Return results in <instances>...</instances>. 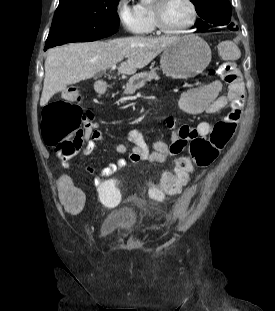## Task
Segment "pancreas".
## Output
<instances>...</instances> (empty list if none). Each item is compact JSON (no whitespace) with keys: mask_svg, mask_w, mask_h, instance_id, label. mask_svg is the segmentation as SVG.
<instances>
[{"mask_svg":"<svg viewBox=\"0 0 275 311\" xmlns=\"http://www.w3.org/2000/svg\"><path fill=\"white\" fill-rule=\"evenodd\" d=\"M153 79L155 80L160 79L155 70L138 73L133 77H131L130 80L126 83L123 94L125 95L134 94L136 90L143 87L147 82Z\"/></svg>","mask_w":275,"mask_h":311,"instance_id":"pancreas-1","label":"pancreas"}]
</instances>
